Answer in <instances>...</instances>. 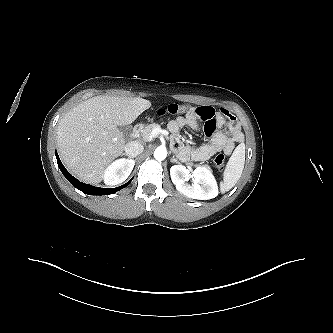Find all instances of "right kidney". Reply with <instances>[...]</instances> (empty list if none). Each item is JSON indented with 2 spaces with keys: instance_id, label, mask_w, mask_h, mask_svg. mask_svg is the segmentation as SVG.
Here are the masks:
<instances>
[{
  "instance_id": "ca27d5eb",
  "label": "right kidney",
  "mask_w": 333,
  "mask_h": 333,
  "mask_svg": "<svg viewBox=\"0 0 333 333\" xmlns=\"http://www.w3.org/2000/svg\"><path fill=\"white\" fill-rule=\"evenodd\" d=\"M132 159H119L107 167L104 173V182L107 185H116L125 181L134 168Z\"/></svg>"
}]
</instances>
